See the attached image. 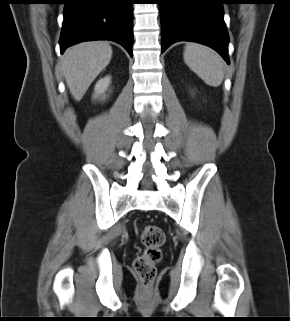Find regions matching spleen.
I'll list each match as a JSON object with an SVG mask.
<instances>
[{
  "instance_id": "3e777b00",
  "label": "spleen",
  "mask_w": 290,
  "mask_h": 321,
  "mask_svg": "<svg viewBox=\"0 0 290 321\" xmlns=\"http://www.w3.org/2000/svg\"><path fill=\"white\" fill-rule=\"evenodd\" d=\"M184 61L206 84L217 87L224 76L222 58L212 49L198 44H187Z\"/></svg>"
}]
</instances>
